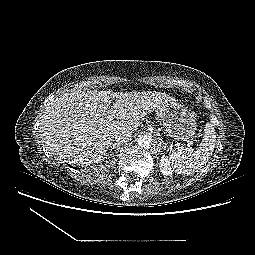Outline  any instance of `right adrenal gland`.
Wrapping results in <instances>:
<instances>
[{"label":"right adrenal gland","instance_id":"obj_1","mask_svg":"<svg viewBox=\"0 0 255 255\" xmlns=\"http://www.w3.org/2000/svg\"><path fill=\"white\" fill-rule=\"evenodd\" d=\"M121 145H122L121 143H114V144H112V146H111V152H112L114 149H116V150L118 151Z\"/></svg>","mask_w":255,"mask_h":255}]
</instances>
